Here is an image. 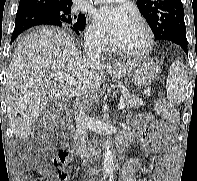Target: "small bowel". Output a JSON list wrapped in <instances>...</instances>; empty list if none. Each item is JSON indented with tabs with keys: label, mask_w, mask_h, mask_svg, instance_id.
Returning a JSON list of instances; mask_svg holds the SVG:
<instances>
[{
	"label": "small bowel",
	"mask_w": 197,
	"mask_h": 181,
	"mask_svg": "<svg viewBox=\"0 0 197 181\" xmlns=\"http://www.w3.org/2000/svg\"><path fill=\"white\" fill-rule=\"evenodd\" d=\"M132 130L128 139L141 144V156L130 160L124 167L119 181H170L173 170L174 129L145 113L131 120ZM159 155V161L149 166L146 160Z\"/></svg>",
	"instance_id": "1"
}]
</instances>
